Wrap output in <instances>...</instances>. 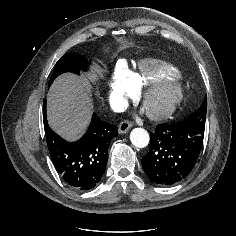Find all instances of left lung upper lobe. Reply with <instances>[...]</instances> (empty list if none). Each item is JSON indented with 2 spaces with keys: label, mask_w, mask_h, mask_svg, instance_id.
<instances>
[{
  "label": "left lung upper lobe",
  "mask_w": 236,
  "mask_h": 236,
  "mask_svg": "<svg viewBox=\"0 0 236 236\" xmlns=\"http://www.w3.org/2000/svg\"><path fill=\"white\" fill-rule=\"evenodd\" d=\"M206 112H207V98L205 97L201 107L195 111L186 121L198 124L200 126H205L206 121Z\"/></svg>",
  "instance_id": "obj_1"
}]
</instances>
